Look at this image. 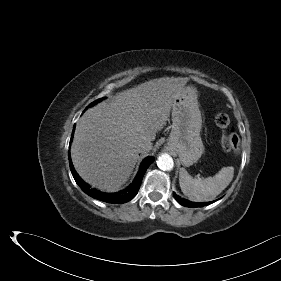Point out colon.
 Wrapping results in <instances>:
<instances>
[{
    "label": "colon",
    "mask_w": 281,
    "mask_h": 281,
    "mask_svg": "<svg viewBox=\"0 0 281 281\" xmlns=\"http://www.w3.org/2000/svg\"><path fill=\"white\" fill-rule=\"evenodd\" d=\"M215 124L222 128L225 133L221 139V148L224 151L237 153L240 149V141L237 134L230 128V119L224 113H218L214 117Z\"/></svg>",
    "instance_id": "colon-1"
}]
</instances>
